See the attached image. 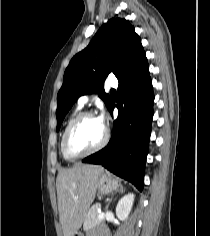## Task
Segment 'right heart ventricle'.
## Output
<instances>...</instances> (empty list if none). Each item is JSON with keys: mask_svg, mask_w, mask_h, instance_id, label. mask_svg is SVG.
<instances>
[{"mask_svg": "<svg viewBox=\"0 0 210 236\" xmlns=\"http://www.w3.org/2000/svg\"><path fill=\"white\" fill-rule=\"evenodd\" d=\"M79 110H80V108H77V110L70 116V118H69L68 121L66 122L65 127H64L63 132H62L60 147H61L62 156H63V158H65V159H67V158L65 157V155H64V153H63V150H62V140H63V136H64V133H65V130H66L68 124H69V123L71 122V120L78 114Z\"/></svg>", "mask_w": 210, "mask_h": 236, "instance_id": "e07e8e85", "label": "right heart ventricle"}]
</instances>
